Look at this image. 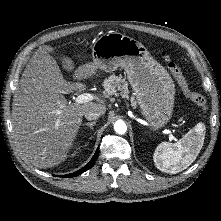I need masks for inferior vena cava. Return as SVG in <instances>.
Masks as SVG:
<instances>
[{
  "label": "inferior vena cava",
  "mask_w": 221,
  "mask_h": 221,
  "mask_svg": "<svg viewBox=\"0 0 221 221\" xmlns=\"http://www.w3.org/2000/svg\"><path fill=\"white\" fill-rule=\"evenodd\" d=\"M87 120H96L101 116V112L98 110H88L84 113Z\"/></svg>",
  "instance_id": "602c4592"
}]
</instances>
